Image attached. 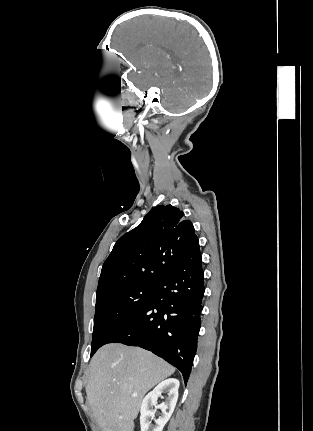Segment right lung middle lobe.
Segmentation results:
<instances>
[{"label": "right lung middle lobe", "instance_id": "1", "mask_svg": "<svg viewBox=\"0 0 313 431\" xmlns=\"http://www.w3.org/2000/svg\"><path fill=\"white\" fill-rule=\"evenodd\" d=\"M157 286L129 287L96 300L91 356L142 307Z\"/></svg>", "mask_w": 313, "mask_h": 431}]
</instances>
